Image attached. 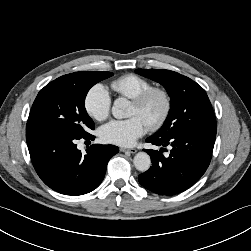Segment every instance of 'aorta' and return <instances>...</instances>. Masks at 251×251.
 I'll return each instance as SVG.
<instances>
[{
    "mask_svg": "<svg viewBox=\"0 0 251 251\" xmlns=\"http://www.w3.org/2000/svg\"><path fill=\"white\" fill-rule=\"evenodd\" d=\"M112 114L117 119L128 118L131 115L130 102L126 98H117L112 106ZM133 162L140 172H146L151 165L150 156L146 152H138Z\"/></svg>",
    "mask_w": 251,
    "mask_h": 251,
    "instance_id": "1",
    "label": "aorta"
}]
</instances>
